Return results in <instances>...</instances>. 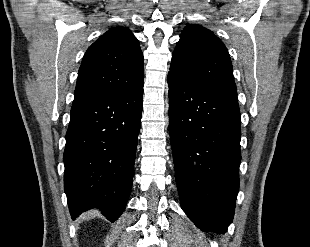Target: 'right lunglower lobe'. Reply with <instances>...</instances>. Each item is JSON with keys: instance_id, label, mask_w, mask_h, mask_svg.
Returning <instances> with one entry per match:
<instances>
[{"instance_id": "right-lung-lower-lobe-1", "label": "right lung lower lobe", "mask_w": 310, "mask_h": 247, "mask_svg": "<svg viewBox=\"0 0 310 247\" xmlns=\"http://www.w3.org/2000/svg\"><path fill=\"white\" fill-rule=\"evenodd\" d=\"M143 84L130 91L75 98L64 151V189L73 219L94 207L114 222L134 176Z\"/></svg>"}]
</instances>
